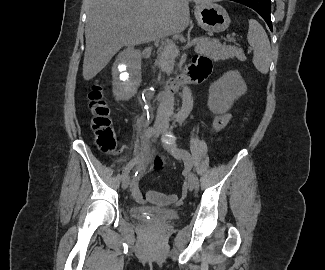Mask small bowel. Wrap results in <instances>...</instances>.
<instances>
[{
  "mask_svg": "<svg viewBox=\"0 0 325 270\" xmlns=\"http://www.w3.org/2000/svg\"><path fill=\"white\" fill-rule=\"evenodd\" d=\"M211 71L212 61L209 57L204 55L195 56L188 66V75H190L194 81L204 80ZM231 118V113H224L216 116L212 123V129L219 131L225 128L231 121ZM157 167H160V163L157 164ZM132 195L136 201H142V194L135 183L132 185Z\"/></svg>",
  "mask_w": 325,
  "mask_h": 270,
  "instance_id": "obj_1",
  "label": "small bowel"
}]
</instances>
